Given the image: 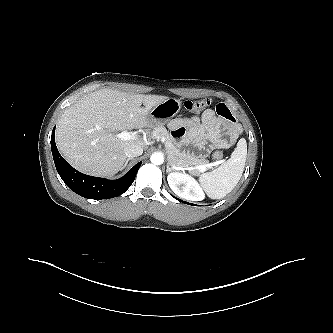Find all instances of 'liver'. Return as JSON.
Masks as SVG:
<instances>
[{
  "mask_svg": "<svg viewBox=\"0 0 333 333\" xmlns=\"http://www.w3.org/2000/svg\"><path fill=\"white\" fill-rule=\"evenodd\" d=\"M167 96L102 89L83 96L62 114L56 143L77 170L94 176H113L126 161L125 148L145 146L141 137L118 138L117 132L151 128L149 111ZM144 104L145 107H141Z\"/></svg>",
  "mask_w": 333,
  "mask_h": 333,
  "instance_id": "obj_1",
  "label": "liver"
}]
</instances>
